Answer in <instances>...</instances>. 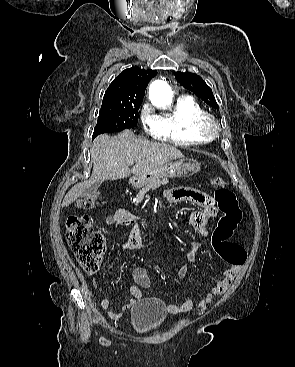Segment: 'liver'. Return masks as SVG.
<instances>
[{"label":"liver","mask_w":295,"mask_h":367,"mask_svg":"<svg viewBox=\"0 0 295 367\" xmlns=\"http://www.w3.org/2000/svg\"><path fill=\"white\" fill-rule=\"evenodd\" d=\"M93 170L89 180L73 186L62 202L67 207L97 181L117 180L141 175L174 159L184 158L174 146L150 142L124 130L115 137L102 134L95 138L91 147ZM130 170L129 166L133 165Z\"/></svg>","instance_id":"liver-1"}]
</instances>
